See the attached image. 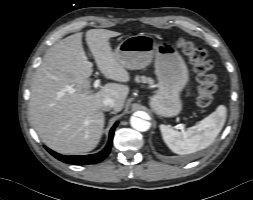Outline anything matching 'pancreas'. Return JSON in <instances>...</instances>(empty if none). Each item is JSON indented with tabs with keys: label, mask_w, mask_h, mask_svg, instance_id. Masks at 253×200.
I'll use <instances>...</instances> for the list:
<instances>
[{
	"label": "pancreas",
	"mask_w": 253,
	"mask_h": 200,
	"mask_svg": "<svg viewBox=\"0 0 253 200\" xmlns=\"http://www.w3.org/2000/svg\"><path fill=\"white\" fill-rule=\"evenodd\" d=\"M135 81L142 82V83H148V84H152L154 82V80L152 78L145 77V76H136Z\"/></svg>",
	"instance_id": "obj_1"
}]
</instances>
